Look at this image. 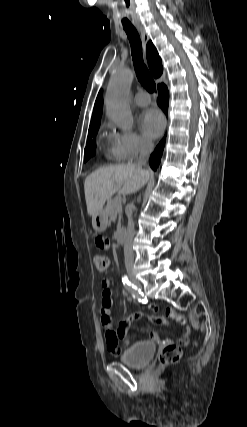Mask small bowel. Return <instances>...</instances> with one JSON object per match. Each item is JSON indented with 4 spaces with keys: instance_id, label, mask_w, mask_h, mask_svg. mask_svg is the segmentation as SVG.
I'll use <instances>...</instances> for the list:
<instances>
[{
    "instance_id": "c3829d8e",
    "label": "small bowel",
    "mask_w": 247,
    "mask_h": 427,
    "mask_svg": "<svg viewBox=\"0 0 247 427\" xmlns=\"http://www.w3.org/2000/svg\"><path fill=\"white\" fill-rule=\"evenodd\" d=\"M95 245L99 250H106L110 248V240L106 239L103 236H99L95 240ZM102 286V301H101V324L105 329V338H106V346L109 351L114 354L120 352V341L128 342L129 339L127 337V330L131 322L138 318L146 317L150 321L158 323V324H166L168 319L173 320L177 324H179L182 328L178 336V342L181 344H185L189 340L190 336V328L186 323V319L183 315L178 313L172 308H167L165 310L164 316H156V315H146L143 312H136L129 314L126 316L118 325L117 329L113 328V318H112V306L113 299L112 293L110 289V280L103 279L101 282ZM154 312L158 311V308H153ZM148 339L151 341H159L160 337L156 332H150L148 335ZM172 339L170 337H166L163 340L164 344H172Z\"/></svg>"
}]
</instances>
